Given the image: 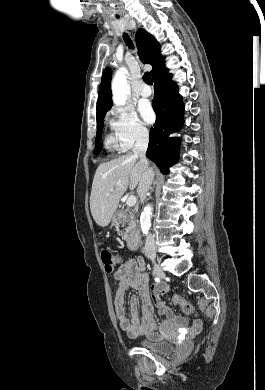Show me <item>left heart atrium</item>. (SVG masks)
<instances>
[{
	"instance_id": "39dd6f15",
	"label": "left heart atrium",
	"mask_w": 265,
	"mask_h": 390,
	"mask_svg": "<svg viewBox=\"0 0 265 390\" xmlns=\"http://www.w3.org/2000/svg\"><path fill=\"white\" fill-rule=\"evenodd\" d=\"M140 113L147 123H152L155 119V114L149 105L140 106Z\"/></svg>"
}]
</instances>
